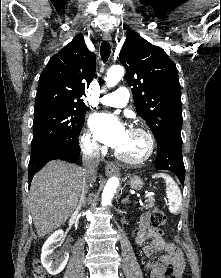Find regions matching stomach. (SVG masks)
<instances>
[{"label": "stomach", "instance_id": "stomach-1", "mask_svg": "<svg viewBox=\"0 0 221 278\" xmlns=\"http://www.w3.org/2000/svg\"><path fill=\"white\" fill-rule=\"evenodd\" d=\"M129 185L134 190H140L143 187V182L138 176H133L129 181Z\"/></svg>", "mask_w": 221, "mask_h": 278}]
</instances>
